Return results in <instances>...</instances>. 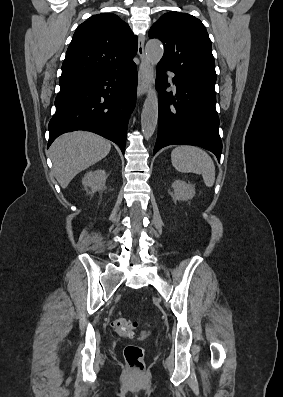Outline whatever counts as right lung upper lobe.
<instances>
[{"label": "right lung upper lobe", "instance_id": "1", "mask_svg": "<svg viewBox=\"0 0 283 397\" xmlns=\"http://www.w3.org/2000/svg\"><path fill=\"white\" fill-rule=\"evenodd\" d=\"M136 53L137 37L126 22L112 13L93 15L76 29L59 83L124 67Z\"/></svg>", "mask_w": 283, "mask_h": 397}]
</instances>
